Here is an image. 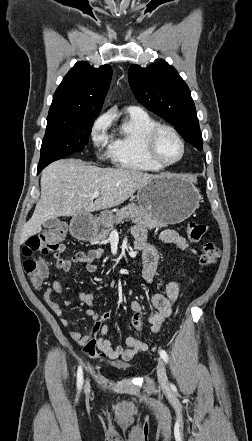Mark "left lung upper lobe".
I'll return each instance as SVG.
<instances>
[{
    "label": "left lung upper lobe",
    "instance_id": "1",
    "mask_svg": "<svg viewBox=\"0 0 252 441\" xmlns=\"http://www.w3.org/2000/svg\"><path fill=\"white\" fill-rule=\"evenodd\" d=\"M129 84L139 103L176 127L198 150L203 147L190 90L174 67L159 60L146 68L131 65Z\"/></svg>",
    "mask_w": 252,
    "mask_h": 441
}]
</instances>
